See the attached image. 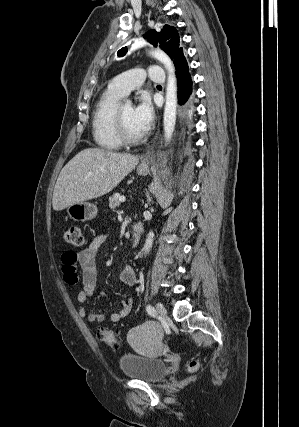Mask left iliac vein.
<instances>
[{
  "instance_id": "obj_1",
  "label": "left iliac vein",
  "mask_w": 299,
  "mask_h": 427,
  "mask_svg": "<svg viewBox=\"0 0 299 427\" xmlns=\"http://www.w3.org/2000/svg\"><path fill=\"white\" fill-rule=\"evenodd\" d=\"M156 308L160 317L165 320L167 318V311L164 305L162 303H157Z\"/></svg>"
}]
</instances>
